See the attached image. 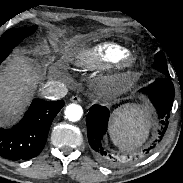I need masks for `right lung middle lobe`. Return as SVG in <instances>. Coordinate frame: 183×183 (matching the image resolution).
<instances>
[{"label":"right lung middle lobe","mask_w":183,"mask_h":183,"mask_svg":"<svg viewBox=\"0 0 183 183\" xmlns=\"http://www.w3.org/2000/svg\"><path fill=\"white\" fill-rule=\"evenodd\" d=\"M36 28L37 26H31L6 31L0 38V55L11 52L25 37L33 34Z\"/></svg>","instance_id":"1"}]
</instances>
